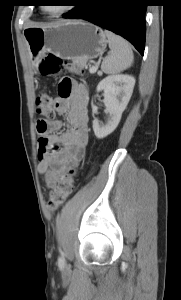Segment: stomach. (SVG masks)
<instances>
[{
    "label": "stomach",
    "mask_w": 181,
    "mask_h": 300,
    "mask_svg": "<svg viewBox=\"0 0 181 300\" xmlns=\"http://www.w3.org/2000/svg\"><path fill=\"white\" fill-rule=\"evenodd\" d=\"M23 35L35 66L48 52L62 59L78 60L85 64L103 53L108 42L100 27L83 21L29 27Z\"/></svg>",
    "instance_id": "stomach-1"
}]
</instances>
